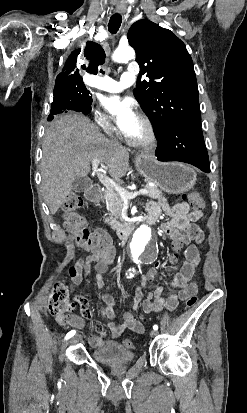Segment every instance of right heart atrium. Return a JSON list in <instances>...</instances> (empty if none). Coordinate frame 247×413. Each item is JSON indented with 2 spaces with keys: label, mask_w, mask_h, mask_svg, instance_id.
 I'll use <instances>...</instances> for the list:
<instances>
[{
  "label": "right heart atrium",
  "mask_w": 247,
  "mask_h": 413,
  "mask_svg": "<svg viewBox=\"0 0 247 413\" xmlns=\"http://www.w3.org/2000/svg\"><path fill=\"white\" fill-rule=\"evenodd\" d=\"M92 112H93L94 114H99V113L101 112V107H100L99 105H94V106L92 107ZM99 124H100L101 128H102L106 133H110V132H111L112 128H111L110 124L106 121V119H105L104 116L101 117Z\"/></svg>",
  "instance_id": "1"
}]
</instances>
